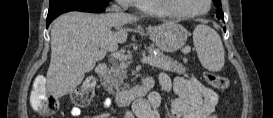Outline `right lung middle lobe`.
Here are the masks:
<instances>
[{"mask_svg": "<svg viewBox=\"0 0 273 118\" xmlns=\"http://www.w3.org/2000/svg\"><path fill=\"white\" fill-rule=\"evenodd\" d=\"M51 1L52 0H50V2ZM75 1L87 3V4H92V5H98L101 7H106L110 2V0H75Z\"/></svg>", "mask_w": 273, "mask_h": 118, "instance_id": "1", "label": "right lung middle lobe"}]
</instances>
